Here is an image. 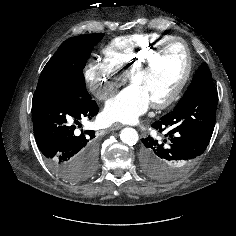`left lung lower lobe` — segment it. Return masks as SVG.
Segmentation results:
<instances>
[{"label": "left lung lower lobe", "mask_w": 236, "mask_h": 236, "mask_svg": "<svg viewBox=\"0 0 236 236\" xmlns=\"http://www.w3.org/2000/svg\"><path fill=\"white\" fill-rule=\"evenodd\" d=\"M217 90L213 81L179 101L172 112L152 124L164 140L143 138V172L157 180L173 179L189 169L208 146L216 118Z\"/></svg>", "instance_id": "1"}]
</instances>
